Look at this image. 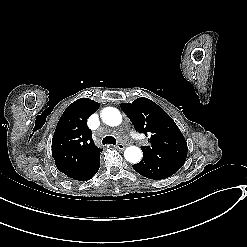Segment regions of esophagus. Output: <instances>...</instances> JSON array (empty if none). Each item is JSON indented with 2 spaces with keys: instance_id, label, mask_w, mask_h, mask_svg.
<instances>
[{
  "instance_id": "1",
  "label": "esophagus",
  "mask_w": 247,
  "mask_h": 247,
  "mask_svg": "<svg viewBox=\"0 0 247 247\" xmlns=\"http://www.w3.org/2000/svg\"><path fill=\"white\" fill-rule=\"evenodd\" d=\"M117 148L120 149V150H123L125 148V146L123 144H118Z\"/></svg>"
}]
</instances>
